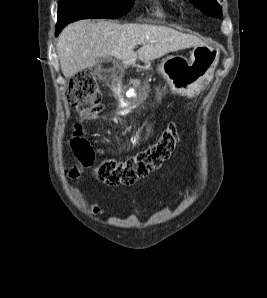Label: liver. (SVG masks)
Instances as JSON below:
<instances>
[{"instance_id": "6515ba94", "label": "liver", "mask_w": 267, "mask_h": 298, "mask_svg": "<svg viewBox=\"0 0 267 298\" xmlns=\"http://www.w3.org/2000/svg\"><path fill=\"white\" fill-rule=\"evenodd\" d=\"M205 44L196 36L161 25L80 20L61 32L57 53L63 75L70 78L93 67L99 58L113 56L129 62L138 56L150 61L170 52ZM137 45L142 47L135 52Z\"/></svg>"}]
</instances>
